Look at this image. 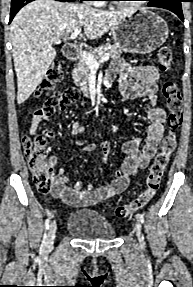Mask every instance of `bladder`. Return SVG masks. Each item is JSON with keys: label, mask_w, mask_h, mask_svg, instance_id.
Returning a JSON list of instances; mask_svg holds the SVG:
<instances>
[{"label": "bladder", "mask_w": 193, "mask_h": 287, "mask_svg": "<svg viewBox=\"0 0 193 287\" xmlns=\"http://www.w3.org/2000/svg\"><path fill=\"white\" fill-rule=\"evenodd\" d=\"M66 228L82 240H111L116 235L115 228L103 215L87 209L71 213Z\"/></svg>", "instance_id": "bladder-1"}]
</instances>
